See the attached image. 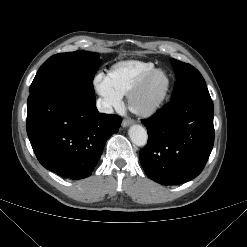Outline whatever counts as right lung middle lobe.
<instances>
[{
  "label": "right lung middle lobe",
  "mask_w": 247,
  "mask_h": 247,
  "mask_svg": "<svg viewBox=\"0 0 247 247\" xmlns=\"http://www.w3.org/2000/svg\"><path fill=\"white\" fill-rule=\"evenodd\" d=\"M99 65V54L93 52L75 51L53 55L39 68L30 92L60 86L94 94L92 81Z\"/></svg>",
  "instance_id": "dd1d6c3e"
}]
</instances>
